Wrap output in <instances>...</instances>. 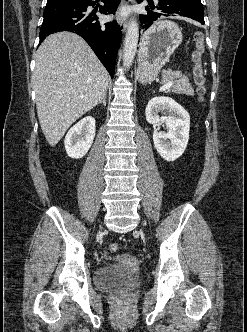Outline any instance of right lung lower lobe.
<instances>
[{"label": "right lung lower lobe", "mask_w": 247, "mask_h": 332, "mask_svg": "<svg viewBox=\"0 0 247 332\" xmlns=\"http://www.w3.org/2000/svg\"><path fill=\"white\" fill-rule=\"evenodd\" d=\"M99 12L115 13L120 0H102ZM91 0L48 1L44 10V20L40 29V43L46 36L60 31H70L80 35L93 49L99 60L114 77L115 62L121 41V29L117 22L100 24L92 18L87 8L94 7Z\"/></svg>", "instance_id": "obj_1"}]
</instances>
